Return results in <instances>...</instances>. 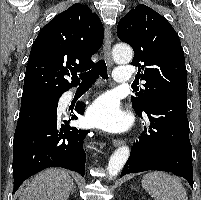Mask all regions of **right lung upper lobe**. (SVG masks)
Here are the masks:
<instances>
[{"instance_id": "right-lung-upper-lobe-1", "label": "right lung upper lobe", "mask_w": 201, "mask_h": 200, "mask_svg": "<svg viewBox=\"0 0 201 200\" xmlns=\"http://www.w3.org/2000/svg\"><path fill=\"white\" fill-rule=\"evenodd\" d=\"M99 17L84 4H73L39 32L29 55L24 98L60 96L79 83L77 72L90 69V60L103 43Z\"/></svg>"}]
</instances>
